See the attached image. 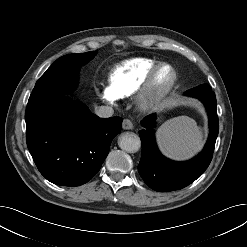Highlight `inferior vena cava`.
<instances>
[{
	"label": "inferior vena cava",
	"mask_w": 247,
	"mask_h": 247,
	"mask_svg": "<svg viewBox=\"0 0 247 247\" xmlns=\"http://www.w3.org/2000/svg\"><path fill=\"white\" fill-rule=\"evenodd\" d=\"M95 114L102 118L112 117L114 110L109 106H98L95 108Z\"/></svg>",
	"instance_id": "1"
}]
</instances>
